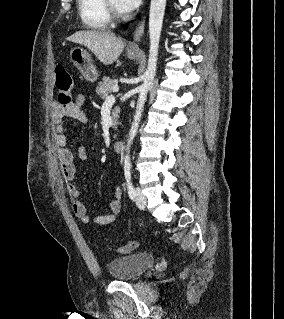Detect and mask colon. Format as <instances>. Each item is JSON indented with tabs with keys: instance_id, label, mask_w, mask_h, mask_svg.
I'll list each match as a JSON object with an SVG mask.
<instances>
[{
	"instance_id": "5ec220e1",
	"label": "colon",
	"mask_w": 284,
	"mask_h": 319,
	"mask_svg": "<svg viewBox=\"0 0 284 319\" xmlns=\"http://www.w3.org/2000/svg\"><path fill=\"white\" fill-rule=\"evenodd\" d=\"M56 74V95L59 104L62 107L70 105L73 92V81L70 73L64 66H57L55 69ZM138 248V242L136 240L129 241L126 245L118 247L115 252L120 254L130 253Z\"/></svg>"
}]
</instances>
